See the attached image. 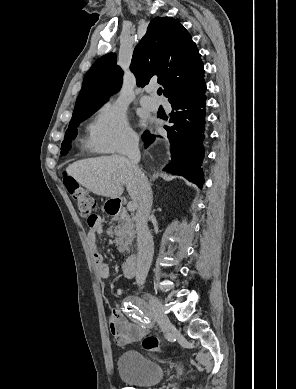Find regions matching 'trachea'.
Returning <instances> with one entry per match:
<instances>
[{
    "mask_svg": "<svg viewBox=\"0 0 296 389\" xmlns=\"http://www.w3.org/2000/svg\"><path fill=\"white\" fill-rule=\"evenodd\" d=\"M157 94H158V95H161V94H162V88H159V89L157 90Z\"/></svg>",
    "mask_w": 296,
    "mask_h": 389,
    "instance_id": "obj_1",
    "label": "trachea"
}]
</instances>
